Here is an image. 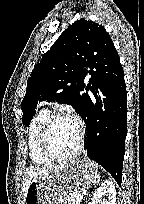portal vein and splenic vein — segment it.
Returning <instances> with one entry per match:
<instances>
[{"label": "portal vein and splenic vein", "mask_w": 144, "mask_h": 204, "mask_svg": "<svg viewBox=\"0 0 144 204\" xmlns=\"http://www.w3.org/2000/svg\"><path fill=\"white\" fill-rule=\"evenodd\" d=\"M81 198H82V196H81V195H78V196H77V202H80Z\"/></svg>", "instance_id": "obj_1"}]
</instances>
